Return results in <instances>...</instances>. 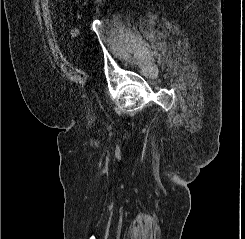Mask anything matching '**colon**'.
Here are the masks:
<instances>
[{
    "mask_svg": "<svg viewBox=\"0 0 245 239\" xmlns=\"http://www.w3.org/2000/svg\"><path fill=\"white\" fill-rule=\"evenodd\" d=\"M71 34H72V36H74V37H78V35H79V29L78 28H73L72 30H71Z\"/></svg>",
    "mask_w": 245,
    "mask_h": 239,
    "instance_id": "obj_1",
    "label": "colon"
}]
</instances>
